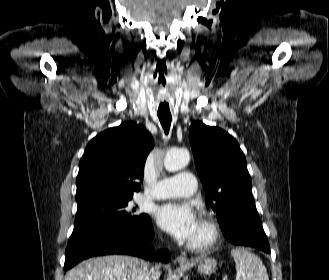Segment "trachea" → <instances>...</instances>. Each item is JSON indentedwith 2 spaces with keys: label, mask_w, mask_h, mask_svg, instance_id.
I'll return each instance as SVG.
<instances>
[{
  "label": "trachea",
  "mask_w": 329,
  "mask_h": 280,
  "mask_svg": "<svg viewBox=\"0 0 329 280\" xmlns=\"http://www.w3.org/2000/svg\"><path fill=\"white\" fill-rule=\"evenodd\" d=\"M158 118L164 129L165 134H168L169 130H170V126H171V121H172L171 114L158 113Z\"/></svg>",
  "instance_id": "1"
}]
</instances>
